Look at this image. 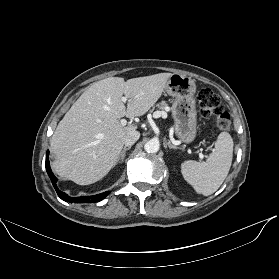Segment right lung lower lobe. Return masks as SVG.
Wrapping results in <instances>:
<instances>
[{"label":"right lung lower lobe","mask_w":279,"mask_h":279,"mask_svg":"<svg viewBox=\"0 0 279 279\" xmlns=\"http://www.w3.org/2000/svg\"><path fill=\"white\" fill-rule=\"evenodd\" d=\"M45 166H46L47 173L52 181V184H53L58 196L64 201L75 202V203H95V202H99V201L103 200L109 194L108 192H104V193L94 195V196L70 197L66 193L60 191L57 188V186H56L57 178L53 175V173L50 169L48 153L46 155Z\"/></svg>","instance_id":"right-lung-lower-lobe-1"}]
</instances>
